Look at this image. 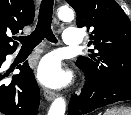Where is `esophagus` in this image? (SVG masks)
<instances>
[{
	"mask_svg": "<svg viewBox=\"0 0 131 115\" xmlns=\"http://www.w3.org/2000/svg\"><path fill=\"white\" fill-rule=\"evenodd\" d=\"M44 96L47 101H52L56 97V93L49 89H44Z\"/></svg>",
	"mask_w": 131,
	"mask_h": 115,
	"instance_id": "obj_1",
	"label": "esophagus"
}]
</instances>
